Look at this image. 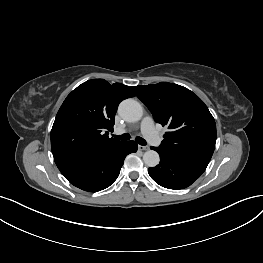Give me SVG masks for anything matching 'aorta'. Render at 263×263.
<instances>
[{"instance_id": "1", "label": "aorta", "mask_w": 263, "mask_h": 263, "mask_svg": "<svg viewBox=\"0 0 263 263\" xmlns=\"http://www.w3.org/2000/svg\"><path fill=\"white\" fill-rule=\"evenodd\" d=\"M120 116L129 122L139 121L143 116V108L141 104L134 99H126L122 101L118 108ZM143 161L148 167H155L159 164V154L154 150H148L143 155Z\"/></svg>"}]
</instances>
